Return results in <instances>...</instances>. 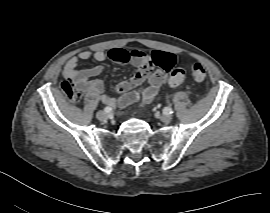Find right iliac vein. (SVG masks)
Instances as JSON below:
<instances>
[{"mask_svg": "<svg viewBox=\"0 0 270 213\" xmlns=\"http://www.w3.org/2000/svg\"><path fill=\"white\" fill-rule=\"evenodd\" d=\"M96 116L100 121H103L107 118V113L105 111L100 110L97 112Z\"/></svg>", "mask_w": 270, "mask_h": 213, "instance_id": "1", "label": "right iliac vein"}]
</instances>
